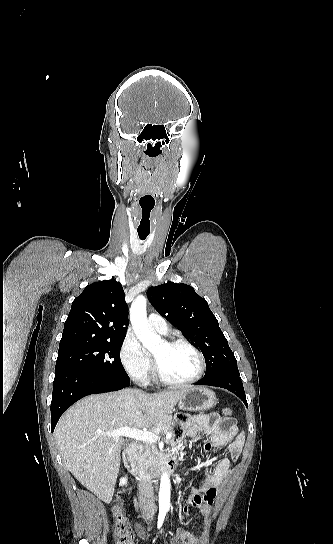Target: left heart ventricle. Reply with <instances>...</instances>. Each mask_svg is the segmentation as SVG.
<instances>
[{"label": "left heart ventricle", "mask_w": 333, "mask_h": 544, "mask_svg": "<svg viewBox=\"0 0 333 544\" xmlns=\"http://www.w3.org/2000/svg\"><path fill=\"white\" fill-rule=\"evenodd\" d=\"M163 376L171 381H185L192 378L199 369L196 354L183 345L168 346L162 342L154 351Z\"/></svg>", "instance_id": "b2bd125f"}]
</instances>
